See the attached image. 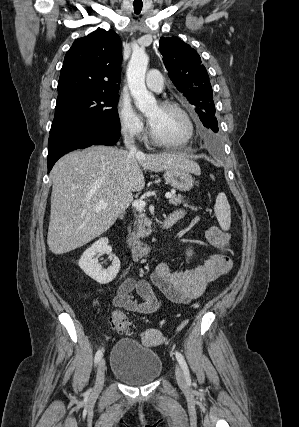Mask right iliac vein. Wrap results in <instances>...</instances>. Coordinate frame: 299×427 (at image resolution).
Returning a JSON list of instances; mask_svg holds the SVG:
<instances>
[{
  "label": "right iliac vein",
  "mask_w": 299,
  "mask_h": 427,
  "mask_svg": "<svg viewBox=\"0 0 299 427\" xmlns=\"http://www.w3.org/2000/svg\"><path fill=\"white\" fill-rule=\"evenodd\" d=\"M106 363L105 359H101L97 368L96 381L94 391H100L103 388L105 378Z\"/></svg>",
  "instance_id": "1"
}]
</instances>
